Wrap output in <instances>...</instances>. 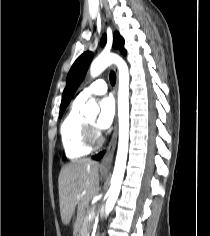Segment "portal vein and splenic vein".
<instances>
[{
	"label": "portal vein and splenic vein",
	"mask_w": 210,
	"mask_h": 236,
	"mask_svg": "<svg viewBox=\"0 0 210 236\" xmlns=\"http://www.w3.org/2000/svg\"><path fill=\"white\" fill-rule=\"evenodd\" d=\"M77 198L80 199L81 196H77ZM94 217H95V212L91 213L88 218H89V219H92V218H94Z\"/></svg>",
	"instance_id": "obj_1"
}]
</instances>
